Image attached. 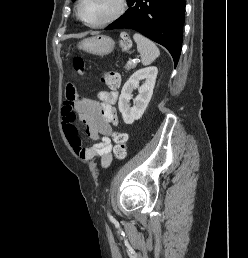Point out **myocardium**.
Masks as SVG:
<instances>
[{"instance_id": "myocardium-1", "label": "myocardium", "mask_w": 248, "mask_h": 258, "mask_svg": "<svg viewBox=\"0 0 248 258\" xmlns=\"http://www.w3.org/2000/svg\"><path fill=\"white\" fill-rule=\"evenodd\" d=\"M84 0H79L78 1V5H77V14H78V17L80 18V20L86 24L87 26L89 27H92V28H99V27H103V26H106L108 24H111L113 22H115L117 19H119L122 14L124 13L125 11V8H126V0H118V5H117V8L115 9V11L110 15L108 16L107 18L99 21V22H96V23H90L88 22L83 14H82V4H83Z\"/></svg>"}]
</instances>
